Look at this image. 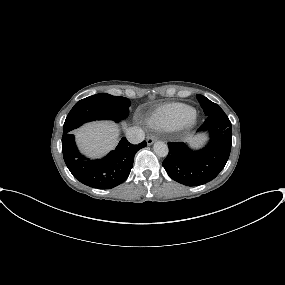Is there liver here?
I'll list each match as a JSON object with an SVG mask.
<instances>
[{"mask_svg": "<svg viewBox=\"0 0 285 285\" xmlns=\"http://www.w3.org/2000/svg\"><path fill=\"white\" fill-rule=\"evenodd\" d=\"M118 126L111 122H92L77 129V143L90 157H100L114 149L118 143Z\"/></svg>", "mask_w": 285, "mask_h": 285, "instance_id": "6515ba94", "label": "liver"}]
</instances>
